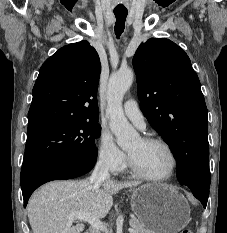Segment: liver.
<instances>
[{"instance_id": "obj_1", "label": "liver", "mask_w": 227, "mask_h": 233, "mask_svg": "<svg viewBox=\"0 0 227 233\" xmlns=\"http://www.w3.org/2000/svg\"><path fill=\"white\" fill-rule=\"evenodd\" d=\"M139 182H118L106 179L95 186L90 180L56 181L36 191L27 206L33 233H81L84 224H72L66 216L73 212H88L105 217L113 205V194Z\"/></svg>"}]
</instances>
